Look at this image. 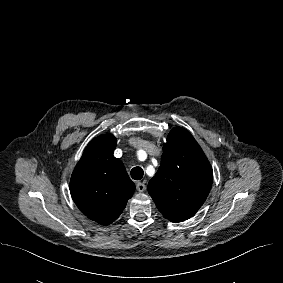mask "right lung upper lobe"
I'll return each instance as SVG.
<instances>
[{"label": "right lung upper lobe", "instance_id": "right-lung-upper-lobe-1", "mask_svg": "<svg viewBox=\"0 0 283 283\" xmlns=\"http://www.w3.org/2000/svg\"><path fill=\"white\" fill-rule=\"evenodd\" d=\"M116 143L111 134L92 140L70 180V193L77 207L102 225L120 216L135 190L122 161L113 155Z\"/></svg>", "mask_w": 283, "mask_h": 283}]
</instances>
